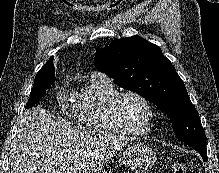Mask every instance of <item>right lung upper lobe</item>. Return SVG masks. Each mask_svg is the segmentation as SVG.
<instances>
[{
  "instance_id": "cb5924a9",
  "label": "right lung upper lobe",
  "mask_w": 219,
  "mask_h": 173,
  "mask_svg": "<svg viewBox=\"0 0 219 173\" xmlns=\"http://www.w3.org/2000/svg\"><path fill=\"white\" fill-rule=\"evenodd\" d=\"M53 58L54 57H51L49 59V61H47V63L41 68V70L39 72H55L54 71V64H53ZM38 72V73H39Z\"/></svg>"
}]
</instances>
